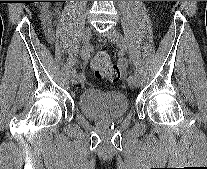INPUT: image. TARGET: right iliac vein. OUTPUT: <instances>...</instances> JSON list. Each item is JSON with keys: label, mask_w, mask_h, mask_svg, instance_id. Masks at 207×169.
Returning a JSON list of instances; mask_svg holds the SVG:
<instances>
[{"label": "right iliac vein", "mask_w": 207, "mask_h": 169, "mask_svg": "<svg viewBox=\"0 0 207 169\" xmlns=\"http://www.w3.org/2000/svg\"><path fill=\"white\" fill-rule=\"evenodd\" d=\"M92 30L89 26L85 27L82 33V43L86 46L91 38ZM70 81L72 84H76L79 82L78 75L75 69H72L70 72Z\"/></svg>", "instance_id": "obj_1"}]
</instances>
